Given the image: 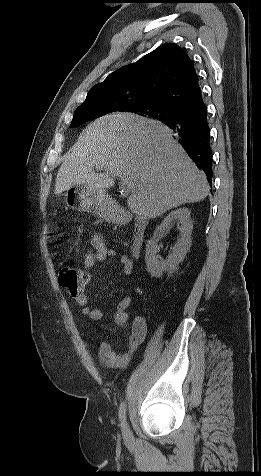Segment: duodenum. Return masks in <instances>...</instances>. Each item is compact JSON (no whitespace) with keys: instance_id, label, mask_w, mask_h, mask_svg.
<instances>
[{"instance_id":"obj_1","label":"duodenum","mask_w":261,"mask_h":476,"mask_svg":"<svg viewBox=\"0 0 261 476\" xmlns=\"http://www.w3.org/2000/svg\"><path fill=\"white\" fill-rule=\"evenodd\" d=\"M112 220L116 224H126L131 218L127 212L118 210L113 213ZM147 227L148 222L145 218L137 217L134 219V230L130 241V252L134 258H138L141 255Z\"/></svg>"}]
</instances>
